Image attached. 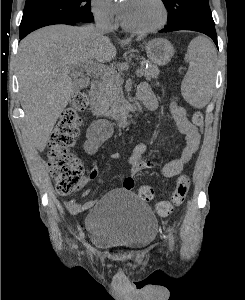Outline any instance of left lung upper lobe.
<instances>
[{
	"label": "left lung upper lobe",
	"instance_id": "5c2ea615",
	"mask_svg": "<svg viewBox=\"0 0 245 300\" xmlns=\"http://www.w3.org/2000/svg\"><path fill=\"white\" fill-rule=\"evenodd\" d=\"M168 11L167 26L183 19H194L214 24L208 0H162Z\"/></svg>",
	"mask_w": 245,
	"mask_h": 300
}]
</instances>
